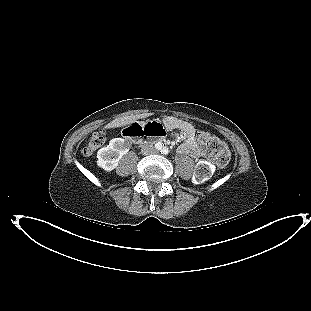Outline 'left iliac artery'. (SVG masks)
Segmentation results:
<instances>
[{"label":"left iliac artery","mask_w":311,"mask_h":311,"mask_svg":"<svg viewBox=\"0 0 311 311\" xmlns=\"http://www.w3.org/2000/svg\"><path fill=\"white\" fill-rule=\"evenodd\" d=\"M161 153L164 154V155H167L169 154V149L167 147H164L162 150H161Z\"/></svg>","instance_id":"1"}]
</instances>
